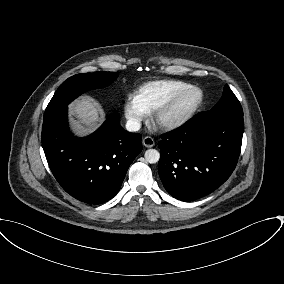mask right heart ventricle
Here are the masks:
<instances>
[{"label":"right heart ventricle","instance_id":"right-heart-ventricle-1","mask_svg":"<svg viewBox=\"0 0 284 284\" xmlns=\"http://www.w3.org/2000/svg\"><path fill=\"white\" fill-rule=\"evenodd\" d=\"M190 84L179 80L150 81L138 88L135 98L146 113L154 112Z\"/></svg>","mask_w":284,"mask_h":284}]
</instances>
